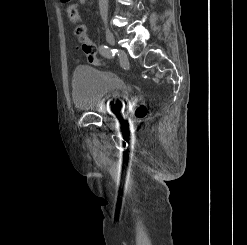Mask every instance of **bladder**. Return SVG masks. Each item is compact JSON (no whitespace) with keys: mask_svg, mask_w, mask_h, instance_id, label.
<instances>
[{"mask_svg":"<svg viewBox=\"0 0 247 245\" xmlns=\"http://www.w3.org/2000/svg\"><path fill=\"white\" fill-rule=\"evenodd\" d=\"M132 90L127 79L92 66L77 67L72 76V101L83 111L116 113Z\"/></svg>","mask_w":247,"mask_h":245,"instance_id":"31cf9c89","label":"bladder"}]
</instances>
